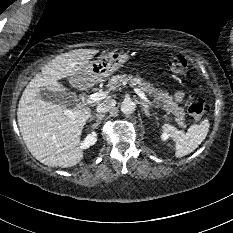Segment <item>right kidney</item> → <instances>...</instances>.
<instances>
[{"label":"right kidney","instance_id":"obj_1","mask_svg":"<svg viewBox=\"0 0 233 233\" xmlns=\"http://www.w3.org/2000/svg\"><path fill=\"white\" fill-rule=\"evenodd\" d=\"M97 141V133L96 132H92L90 134H88L85 138V140L81 143L80 148L81 149H87L89 148L91 145L95 144Z\"/></svg>","mask_w":233,"mask_h":233}]
</instances>
